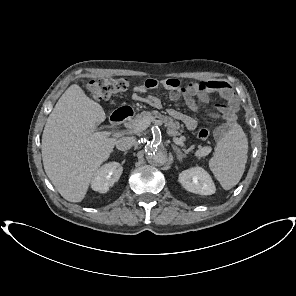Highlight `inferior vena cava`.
<instances>
[{"label":"inferior vena cava","instance_id":"602c4592","mask_svg":"<svg viewBox=\"0 0 296 296\" xmlns=\"http://www.w3.org/2000/svg\"><path fill=\"white\" fill-rule=\"evenodd\" d=\"M134 143L135 139L133 137H122L116 141L115 145L118 150L126 151L131 149Z\"/></svg>","mask_w":296,"mask_h":296}]
</instances>
